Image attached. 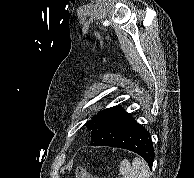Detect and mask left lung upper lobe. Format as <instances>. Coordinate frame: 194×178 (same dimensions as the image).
I'll use <instances>...</instances> for the list:
<instances>
[{"label":"left lung upper lobe","mask_w":194,"mask_h":178,"mask_svg":"<svg viewBox=\"0 0 194 178\" xmlns=\"http://www.w3.org/2000/svg\"><path fill=\"white\" fill-rule=\"evenodd\" d=\"M115 107H111L108 109H104L99 111L96 115H94L89 121H87L85 123V125L88 127L89 130H93L94 127L97 125V123L99 122V120L105 116L108 112H110L112 109H114Z\"/></svg>","instance_id":"1"}]
</instances>
